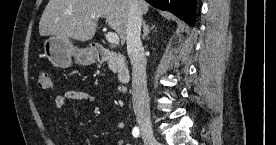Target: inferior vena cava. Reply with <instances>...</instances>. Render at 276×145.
<instances>
[{
	"mask_svg": "<svg viewBox=\"0 0 276 145\" xmlns=\"http://www.w3.org/2000/svg\"><path fill=\"white\" fill-rule=\"evenodd\" d=\"M126 40L127 52L132 65V102L136 116H149L150 105L147 90L146 65L144 47L141 42L142 17L137 0H128Z\"/></svg>",
	"mask_w": 276,
	"mask_h": 145,
	"instance_id": "1",
	"label": "inferior vena cava"
}]
</instances>
